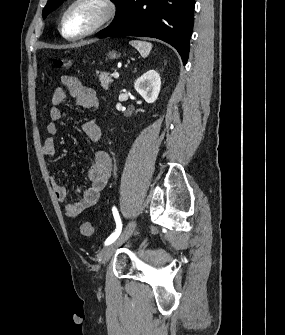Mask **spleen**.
Instances as JSON below:
<instances>
[{
	"label": "spleen",
	"mask_w": 285,
	"mask_h": 335,
	"mask_svg": "<svg viewBox=\"0 0 285 335\" xmlns=\"http://www.w3.org/2000/svg\"><path fill=\"white\" fill-rule=\"evenodd\" d=\"M133 48L138 50L139 54H141L142 58H147L152 50V44L149 42H140V40H133V42H129Z\"/></svg>",
	"instance_id": "1"
}]
</instances>
